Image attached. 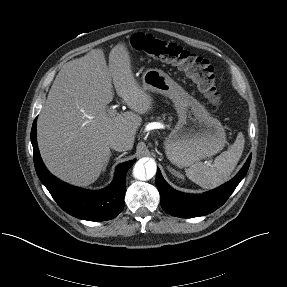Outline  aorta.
Wrapping results in <instances>:
<instances>
[{"mask_svg": "<svg viewBox=\"0 0 287 287\" xmlns=\"http://www.w3.org/2000/svg\"><path fill=\"white\" fill-rule=\"evenodd\" d=\"M156 170V163L153 159H141L133 168V176L138 180H144L153 177Z\"/></svg>", "mask_w": 287, "mask_h": 287, "instance_id": "1", "label": "aorta"}]
</instances>
